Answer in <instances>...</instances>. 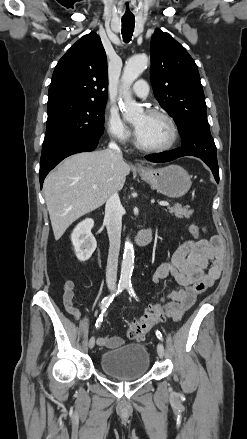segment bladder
I'll use <instances>...</instances> for the list:
<instances>
[{
	"mask_svg": "<svg viewBox=\"0 0 247 439\" xmlns=\"http://www.w3.org/2000/svg\"><path fill=\"white\" fill-rule=\"evenodd\" d=\"M102 371L119 380H134L144 376L150 367L147 348L132 343L107 351L100 359Z\"/></svg>",
	"mask_w": 247,
	"mask_h": 439,
	"instance_id": "obj_1",
	"label": "bladder"
}]
</instances>
